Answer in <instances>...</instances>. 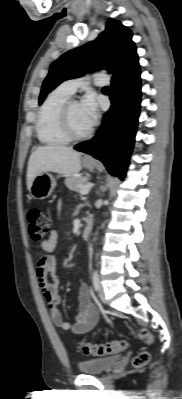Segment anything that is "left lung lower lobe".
<instances>
[{
    "label": "left lung lower lobe",
    "mask_w": 182,
    "mask_h": 399,
    "mask_svg": "<svg viewBox=\"0 0 182 399\" xmlns=\"http://www.w3.org/2000/svg\"><path fill=\"white\" fill-rule=\"evenodd\" d=\"M111 108L103 116L96 136L78 144L75 150L102 161L108 171L123 179L135 141L141 103L140 65L111 84Z\"/></svg>",
    "instance_id": "left-lung-lower-lobe-1"
}]
</instances>
